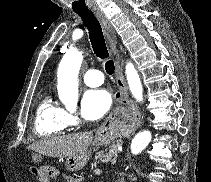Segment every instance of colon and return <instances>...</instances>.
Instances as JSON below:
<instances>
[{"label":"colon","mask_w":211,"mask_h":182,"mask_svg":"<svg viewBox=\"0 0 211 182\" xmlns=\"http://www.w3.org/2000/svg\"><path fill=\"white\" fill-rule=\"evenodd\" d=\"M34 176L41 181L51 182V180L59 175V172L50 167L32 168Z\"/></svg>","instance_id":"colon-1"}]
</instances>
